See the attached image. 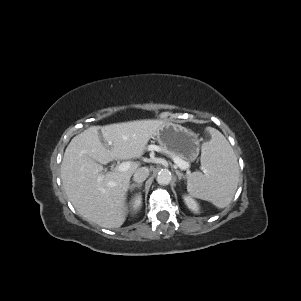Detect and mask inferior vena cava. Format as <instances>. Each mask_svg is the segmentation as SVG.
<instances>
[{
	"instance_id": "inferior-vena-cava-1",
	"label": "inferior vena cava",
	"mask_w": 301,
	"mask_h": 301,
	"mask_svg": "<svg viewBox=\"0 0 301 301\" xmlns=\"http://www.w3.org/2000/svg\"><path fill=\"white\" fill-rule=\"evenodd\" d=\"M149 176V169L147 167H140L136 169L133 175V180L137 183H142Z\"/></svg>"
}]
</instances>
